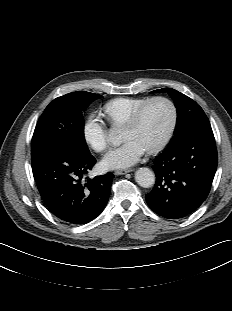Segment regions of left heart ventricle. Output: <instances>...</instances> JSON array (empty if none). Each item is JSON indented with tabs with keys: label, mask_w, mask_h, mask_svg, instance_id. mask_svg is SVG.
<instances>
[{
	"label": "left heart ventricle",
	"mask_w": 232,
	"mask_h": 311,
	"mask_svg": "<svg viewBox=\"0 0 232 311\" xmlns=\"http://www.w3.org/2000/svg\"><path fill=\"white\" fill-rule=\"evenodd\" d=\"M170 120L171 110L169 105L162 101L155 102L149 106L136 127L123 129V140H137L148 149L162 139L168 129Z\"/></svg>",
	"instance_id": "1"
}]
</instances>
